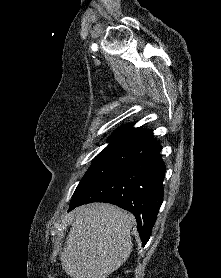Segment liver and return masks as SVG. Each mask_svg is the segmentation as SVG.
<instances>
[{
	"instance_id": "liver-1",
	"label": "liver",
	"mask_w": 221,
	"mask_h": 278,
	"mask_svg": "<svg viewBox=\"0 0 221 278\" xmlns=\"http://www.w3.org/2000/svg\"><path fill=\"white\" fill-rule=\"evenodd\" d=\"M74 213L61 254L63 270L72 278H107L130 256L135 217L102 203L79 207Z\"/></svg>"
}]
</instances>
